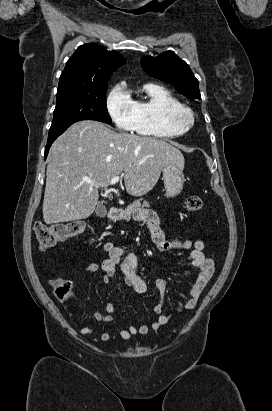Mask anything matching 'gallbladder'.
Returning <instances> with one entry per match:
<instances>
[{
    "instance_id": "obj_1",
    "label": "gallbladder",
    "mask_w": 272,
    "mask_h": 411,
    "mask_svg": "<svg viewBox=\"0 0 272 411\" xmlns=\"http://www.w3.org/2000/svg\"><path fill=\"white\" fill-rule=\"evenodd\" d=\"M95 213L97 216L99 217H104L107 214V209L106 207L103 205V201L99 202V204L97 205V208L95 210Z\"/></svg>"
}]
</instances>
